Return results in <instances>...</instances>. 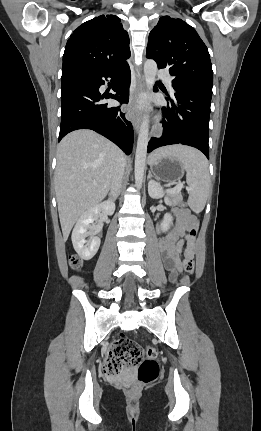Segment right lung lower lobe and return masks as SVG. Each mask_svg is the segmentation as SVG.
Masks as SVG:
<instances>
[{"instance_id":"obj_1","label":"right lung lower lobe","mask_w":261,"mask_h":431,"mask_svg":"<svg viewBox=\"0 0 261 431\" xmlns=\"http://www.w3.org/2000/svg\"><path fill=\"white\" fill-rule=\"evenodd\" d=\"M115 80V94H101L104 79ZM131 73L129 65L113 69H77L62 73L61 126L59 141L77 129H91L130 154L133 128L120 107H108L104 99L112 98L128 103Z\"/></svg>"}]
</instances>
